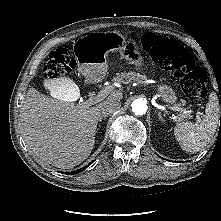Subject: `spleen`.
<instances>
[{
	"instance_id": "1",
	"label": "spleen",
	"mask_w": 221,
	"mask_h": 221,
	"mask_svg": "<svg viewBox=\"0 0 221 221\" xmlns=\"http://www.w3.org/2000/svg\"><path fill=\"white\" fill-rule=\"evenodd\" d=\"M219 123V103L215 93L210 94L205 116L200 122H182L174 128V135L187 153H197L215 134Z\"/></svg>"
}]
</instances>
